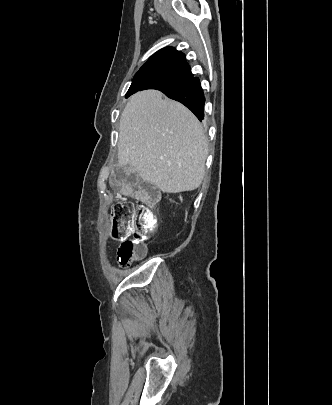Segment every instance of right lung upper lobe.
<instances>
[{
  "instance_id": "obj_1",
  "label": "right lung upper lobe",
  "mask_w": 332,
  "mask_h": 405,
  "mask_svg": "<svg viewBox=\"0 0 332 405\" xmlns=\"http://www.w3.org/2000/svg\"><path fill=\"white\" fill-rule=\"evenodd\" d=\"M161 72L180 76L184 80L193 77L185 55L172 47H166L153 54L137 73Z\"/></svg>"
}]
</instances>
